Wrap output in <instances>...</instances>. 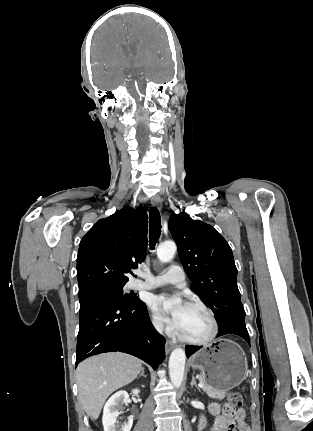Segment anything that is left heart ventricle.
<instances>
[{
	"instance_id": "1",
	"label": "left heart ventricle",
	"mask_w": 313,
	"mask_h": 431,
	"mask_svg": "<svg viewBox=\"0 0 313 431\" xmlns=\"http://www.w3.org/2000/svg\"><path fill=\"white\" fill-rule=\"evenodd\" d=\"M180 332L190 339L203 340L210 336L212 323L205 311L186 306L183 311Z\"/></svg>"
}]
</instances>
